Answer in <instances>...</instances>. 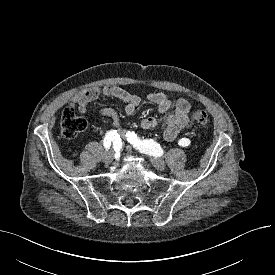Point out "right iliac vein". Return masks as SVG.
Segmentation results:
<instances>
[{
	"instance_id": "obj_1",
	"label": "right iliac vein",
	"mask_w": 275,
	"mask_h": 275,
	"mask_svg": "<svg viewBox=\"0 0 275 275\" xmlns=\"http://www.w3.org/2000/svg\"><path fill=\"white\" fill-rule=\"evenodd\" d=\"M114 159V152L113 150L107 151L103 156V162L105 164H110Z\"/></svg>"
}]
</instances>
